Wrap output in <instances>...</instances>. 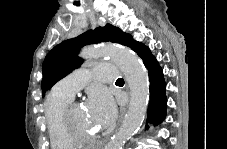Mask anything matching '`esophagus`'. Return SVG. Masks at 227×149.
Segmentation results:
<instances>
[{"mask_svg": "<svg viewBox=\"0 0 227 149\" xmlns=\"http://www.w3.org/2000/svg\"><path fill=\"white\" fill-rule=\"evenodd\" d=\"M124 112L125 111H122L121 115H120V118H119V121H118V125L122 122L123 120V117H124Z\"/></svg>", "mask_w": 227, "mask_h": 149, "instance_id": "obj_1", "label": "esophagus"}]
</instances>
